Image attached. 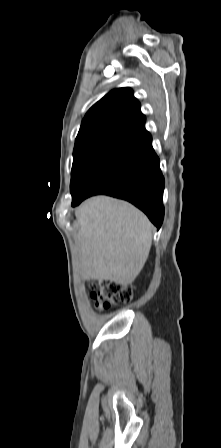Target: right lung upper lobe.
<instances>
[{"label": "right lung upper lobe", "instance_id": "right-lung-upper-lobe-1", "mask_svg": "<svg viewBox=\"0 0 221 448\" xmlns=\"http://www.w3.org/2000/svg\"><path fill=\"white\" fill-rule=\"evenodd\" d=\"M145 116L130 88L111 90L85 115L74 149L90 145L117 146L145 128Z\"/></svg>", "mask_w": 221, "mask_h": 448}]
</instances>
